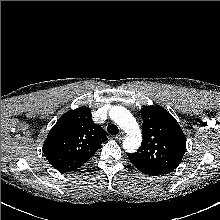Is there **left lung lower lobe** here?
Masks as SVG:
<instances>
[{
	"label": "left lung lower lobe",
	"mask_w": 220,
	"mask_h": 220,
	"mask_svg": "<svg viewBox=\"0 0 220 220\" xmlns=\"http://www.w3.org/2000/svg\"><path fill=\"white\" fill-rule=\"evenodd\" d=\"M129 157V156H128ZM129 160L143 173L151 175V176H158L160 173L156 172L155 170L151 169L150 167L146 166L145 164L134 160L133 158L129 157Z\"/></svg>",
	"instance_id": "0a47b994"
}]
</instances>
